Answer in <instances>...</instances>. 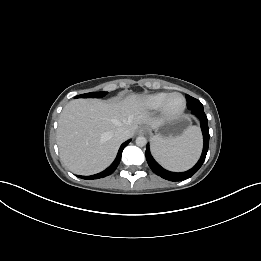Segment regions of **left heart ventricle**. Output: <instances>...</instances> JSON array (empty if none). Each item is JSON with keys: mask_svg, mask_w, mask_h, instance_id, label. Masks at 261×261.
<instances>
[{"mask_svg": "<svg viewBox=\"0 0 261 261\" xmlns=\"http://www.w3.org/2000/svg\"><path fill=\"white\" fill-rule=\"evenodd\" d=\"M183 104L182 98L178 95L173 96L168 102V109L172 112L177 111Z\"/></svg>", "mask_w": 261, "mask_h": 261, "instance_id": "obj_1", "label": "left heart ventricle"}]
</instances>
